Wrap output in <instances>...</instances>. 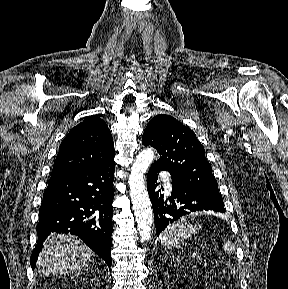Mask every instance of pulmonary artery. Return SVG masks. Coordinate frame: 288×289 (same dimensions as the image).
Masks as SVG:
<instances>
[{
  "mask_svg": "<svg viewBox=\"0 0 288 289\" xmlns=\"http://www.w3.org/2000/svg\"><path fill=\"white\" fill-rule=\"evenodd\" d=\"M161 178L165 183V187L168 191L172 190V185H171V180H170V176L166 173H161Z\"/></svg>",
  "mask_w": 288,
  "mask_h": 289,
  "instance_id": "1",
  "label": "pulmonary artery"
}]
</instances>
